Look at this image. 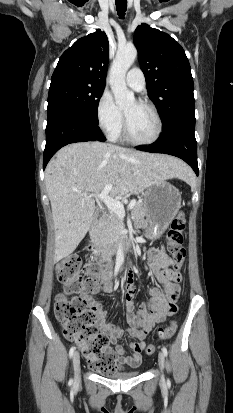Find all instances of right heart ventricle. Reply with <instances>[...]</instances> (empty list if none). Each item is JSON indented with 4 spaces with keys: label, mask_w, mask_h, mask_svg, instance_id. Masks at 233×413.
<instances>
[{
    "label": "right heart ventricle",
    "mask_w": 233,
    "mask_h": 413,
    "mask_svg": "<svg viewBox=\"0 0 233 413\" xmlns=\"http://www.w3.org/2000/svg\"><path fill=\"white\" fill-rule=\"evenodd\" d=\"M123 137L122 130L113 138V139H120Z\"/></svg>",
    "instance_id": "1"
}]
</instances>
